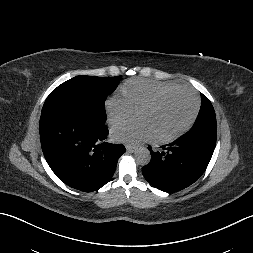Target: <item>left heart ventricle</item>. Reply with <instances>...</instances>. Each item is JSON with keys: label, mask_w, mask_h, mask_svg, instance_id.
<instances>
[{"label": "left heart ventricle", "mask_w": 253, "mask_h": 253, "mask_svg": "<svg viewBox=\"0 0 253 253\" xmlns=\"http://www.w3.org/2000/svg\"><path fill=\"white\" fill-rule=\"evenodd\" d=\"M194 107V99L189 93L176 92L163 98L153 108L139 112L137 119L150 127L153 137H164L186 124Z\"/></svg>", "instance_id": "left-heart-ventricle-1"}]
</instances>
